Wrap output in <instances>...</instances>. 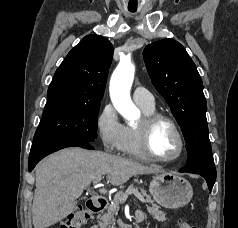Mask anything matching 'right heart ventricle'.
Here are the masks:
<instances>
[{
  "instance_id": "e07e8e85",
  "label": "right heart ventricle",
  "mask_w": 238,
  "mask_h": 228,
  "mask_svg": "<svg viewBox=\"0 0 238 228\" xmlns=\"http://www.w3.org/2000/svg\"><path fill=\"white\" fill-rule=\"evenodd\" d=\"M144 113V115L152 114L155 112L154 107L146 108L139 106ZM120 151L130 157L141 159V160H149L147 155L144 153L139 138V132L136 126H125L124 138L121 144Z\"/></svg>"
}]
</instances>
